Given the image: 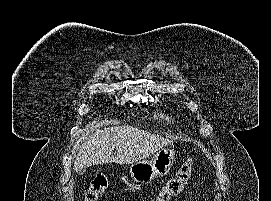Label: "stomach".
<instances>
[{
    "label": "stomach",
    "instance_id": "stomach-1",
    "mask_svg": "<svg viewBox=\"0 0 271 201\" xmlns=\"http://www.w3.org/2000/svg\"><path fill=\"white\" fill-rule=\"evenodd\" d=\"M175 161V151L162 148L151 160H141L131 164L129 172L132 179L137 183H149L158 177L169 173Z\"/></svg>",
    "mask_w": 271,
    "mask_h": 201
}]
</instances>
